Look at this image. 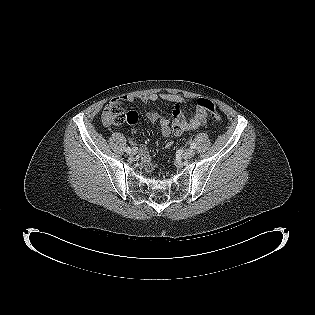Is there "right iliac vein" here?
Returning a JSON list of instances; mask_svg holds the SVG:
<instances>
[{
    "mask_svg": "<svg viewBox=\"0 0 315 315\" xmlns=\"http://www.w3.org/2000/svg\"><path fill=\"white\" fill-rule=\"evenodd\" d=\"M137 153V149L136 148H133L130 152L131 155H135Z\"/></svg>",
    "mask_w": 315,
    "mask_h": 315,
    "instance_id": "right-iliac-vein-1",
    "label": "right iliac vein"
}]
</instances>
